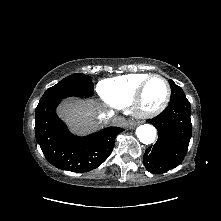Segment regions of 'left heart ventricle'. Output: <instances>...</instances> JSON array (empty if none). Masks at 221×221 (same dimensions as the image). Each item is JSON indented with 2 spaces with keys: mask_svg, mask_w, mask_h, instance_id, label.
Here are the masks:
<instances>
[{
  "mask_svg": "<svg viewBox=\"0 0 221 221\" xmlns=\"http://www.w3.org/2000/svg\"><path fill=\"white\" fill-rule=\"evenodd\" d=\"M166 95V86L162 80L158 78L152 79L143 95V107L146 109L154 108L159 105Z\"/></svg>",
  "mask_w": 221,
  "mask_h": 221,
  "instance_id": "b2bd125f",
  "label": "left heart ventricle"
}]
</instances>
